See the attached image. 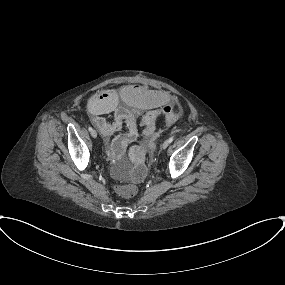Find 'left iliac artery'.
Returning a JSON list of instances; mask_svg holds the SVG:
<instances>
[{
  "instance_id": "obj_1",
  "label": "left iliac artery",
  "mask_w": 285,
  "mask_h": 285,
  "mask_svg": "<svg viewBox=\"0 0 285 285\" xmlns=\"http://www.w3.org/2000/svg\"><path fill=\"white\" fill-rule=\"evenodd\" d=\"M174 140V136L169 138V142L171 143Z\"/></svg>"
}]
</instances>
